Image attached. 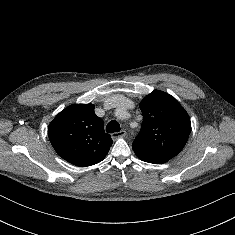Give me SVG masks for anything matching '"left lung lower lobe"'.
I'll return each instance as SVG.
<instances>
[{"instance_id":"0a47b994","label":"left lung lower lobe","mask_w":235,"mask_h":235,"mask_svg":"<svg viewBox=\"0 0 235 235\" xmlns=\"http://www.w3.org/2000/svg\"><path fill=\"white\" fill-rule=\"evenodd\" d=\"M138 158L141 159L142 161L154 163V164H161V163H165L168 161L164 158H159V157L138 156Z\"/></svg>"}]
</instances>
